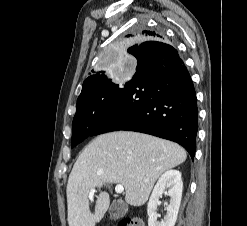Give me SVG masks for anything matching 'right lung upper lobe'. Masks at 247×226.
Returning <instances> with one entry per match:
<instances>
[{
  "label": "right lung upper lobe",
  "instance_id": "obj_1",
  "mask_svg": "<svg viewBox=\"0 0 247 226\" xmlns=\"http://www.w3.org/2000/svg\"><path fill=\"white\" fill-rule=\"evenodd\" d=\"M136 36L141 39H146L147 41H153V40L161 41V39L163 38L160 34L150 30H143L142 32L136 34ZM127 37H133V35H127ZM137 46H138L137 44L132 46L131 48L128 49V52L133 54ZM99 81L100 79L98 74H92L91 76H89L87 79H85L83 83L81 94L95 87L99 83Z\"/></svg>",
  "mask_w": 247,
  "mask_h": 226
}]
</instances>
